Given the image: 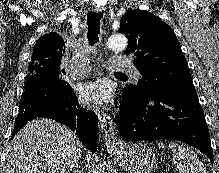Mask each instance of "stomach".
<instances>
[{"mask_svg":"<svg viewBox=\"0 0 219 173\" xmlns=\"http://www.w3.org/2000/svg\"><path fill=\"white\" fill-rule=\"evenodd\" d=\"M111 151L119 166L127 173H151L157 162L154 151L142 142L121 144Z\"/></svg>","mask_w":219,"mask_h":173,"instance_id":"obj_1","label":"stomach"}]
</instances>
